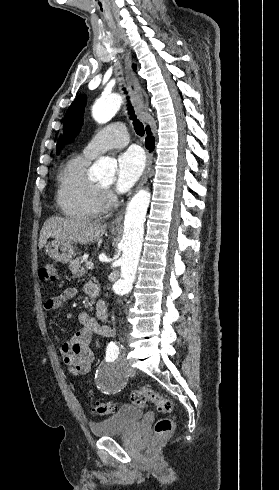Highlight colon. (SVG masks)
<instances>
[{
	"label": "colon",
	"instance_id": "5ec220e1",
	"mask_svg": "<svg viewBox=\"0 0 279 490\" xmlns=\"http://www.w3.org/2000/svg\"><path fill=\"white\" fill-rule=\"evenodd\" d=\"M42 281H56L57 279V264L55 261H49L44 264L39 272ZM131 401L139 408L148 407L149 403H154L157 406L159 413H170L173 410V403L170 398L156 393L152 388H145L133 391L131 393ZM94 414L99 416H107L115 411V405L110 401H93L90 405ZM174 418L162 417L155 424L156 441L170 442L171 432L174 429Z\"/></svg>",
	"mask_w": 279,
	"mask_h": 490
}]
</instances>
